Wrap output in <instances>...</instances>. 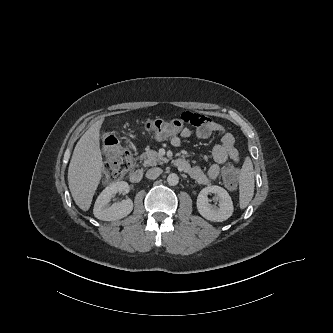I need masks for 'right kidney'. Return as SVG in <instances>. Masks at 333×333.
I'll return each instance as SVG.
<instances>
[{
	"label": "right kidney",
	"mask_w": 333,
	"mask_h": 333,
	"mask_svg": "<svg viewBox=\"0 0 333 333\" xmlns=\"http://www.w3.org/2000/svg\"><path fill=\"white\" fill-rule=\"evenodd\" d=\"M129 185L127 182L119 181L107 186L96 199L93 214L103 221L119 220L131 213L133 210V202L131 199H126L121 202H116L109 206L111 198L116 193H128Z\"/></svg>",
	"instance_id": "1"
}]
</instances>
